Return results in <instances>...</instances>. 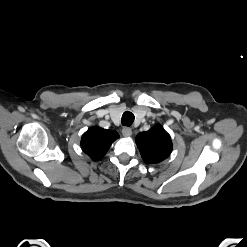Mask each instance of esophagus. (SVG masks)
<instances>
[{
	"label": "esophagus",
	"mask_w": 247,
	"mask_h": 247,
	"mask_svg": "<svg viewBox=\"0 0 247 247\" xmlns=\"http://www.w3.org/2000/svg\"><path fill=\"white\" fill-rule=\"evenodd\" d=\"M122 134H123V136H125V137L131 136V135H132V130H131V128H129V127H124V128L122 129Z\"/></svg>",
	"instance_id": "obj_1"
}]
</instances>
